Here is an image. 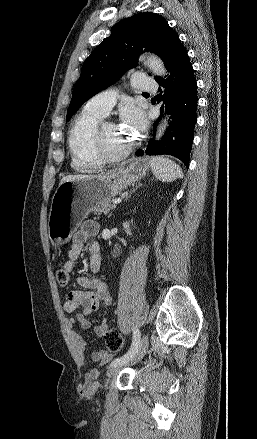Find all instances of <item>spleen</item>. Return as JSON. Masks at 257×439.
Wrapping results in <instances>:
<instances>
[{"label": "spleen", "mask_w": 257, "mask_h": 439, "mask_svg": "<svg viewBox=\"0 0 257 439\" xmlns=\"http://www.w3.org/2000/svg\"><path fill=\"white\" fill-rule=\"evenodd\" d=\"M150 167L153 175L162 182H172L177 178H183L180 166L166 157H153Z\"/></svg>", "instance_id": "1"}]
</instances>
